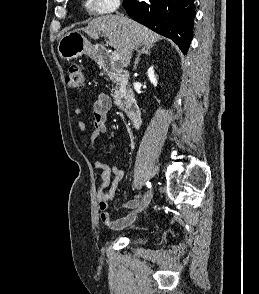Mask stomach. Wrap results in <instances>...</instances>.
Returning <instances> with one entry per match:
<instances>
[{
    "label": "stomach",
    "mask_w": 259,
    "mask_h": 294,
    "mask_svg": "<svg viewBox=\"0 0 259 294\" xmlns=\"http://www.w3.org/2000/svg\"><path fill=\"white\" fill-rule=\"evenodd\" d=\"M58 53L63 59L78 58L83 54H92L90 42L79 30L69 31L58 43Z\"/></svg>",
    "instance_id": "1"
}]
</instances>
